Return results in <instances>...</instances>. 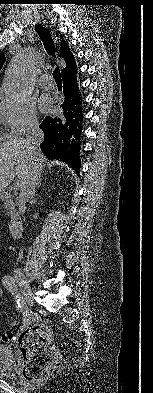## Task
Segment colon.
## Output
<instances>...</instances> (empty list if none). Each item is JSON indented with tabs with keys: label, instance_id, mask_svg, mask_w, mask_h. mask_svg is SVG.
<instances>
[{
	"label": "colon",
	"instance_id": "5ec220e1",
	"mask_svg": "<svg viewBox=\"0 0 153 393\" xmlns=\"http://www.w3.org/2000/svg\"><path fill=\"white\" fill-rule=\"evenodd\" d=\"M50 341L51 328L47 324H34L19 334L22 376L26 381L39 382L60 366V353Z\"/></svg>",
	"mask_w": 153,
	"mask_h": 393
}]
</instances>
